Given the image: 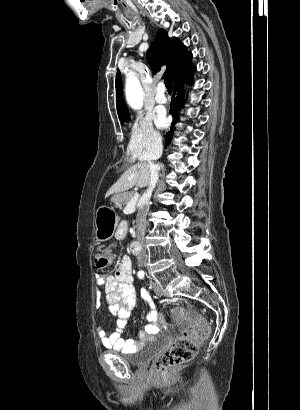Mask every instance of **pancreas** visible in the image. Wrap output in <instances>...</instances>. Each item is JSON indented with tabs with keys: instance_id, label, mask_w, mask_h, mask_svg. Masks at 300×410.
Returning a JSON list of instances; mask_svg holds the SVG:
<instances>
[{
	"instance_id": "1",
	"label": "pancreas",
	"mask_w": 300,
	"mask_h": 410,
	"mask_svg": "<svg viewBox=\"0 0 300 410\" xmlns=\"http://www.w3.org/2000/svg\"><path fill=\"white\" fill-rule=\"evenodd\" d=\"M134 195L135 193L133 191L120 194L115 201V205L118 207H121L122 204L127 205Z\"/></svg>"
}]
</instances>
